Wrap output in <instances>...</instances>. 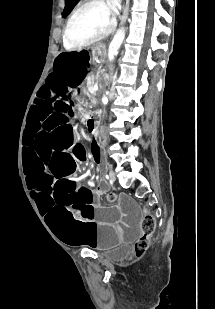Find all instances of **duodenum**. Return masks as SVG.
Wrapping results in <instances>:
<instances>
[{"label": "duodenum", "mask_w": 215, "mask_h": 309, "mask_svg": "<svg viewBox=\"0 0 215 309\" xmlns=\"http://www.w3.org/2000/svg\"><path fill=\"white\" fill-rule=\"evenodd\" d=\"M100 118L101 116L98 113L90 114L87 119L88 128L94 130L96 127V124L99 123Z\"/></svg>", "instance_id": "obj_1"}]
</instances>
